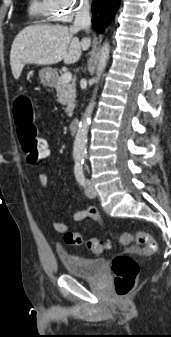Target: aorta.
<instances>
[{
  "mask_svg": "<svg viewBox=\"0 0 171 337\" xmlns=\"http://www.w3.org/2000/svg\"><path fill=\"white\" fill-rule=\"evenodd\" d=\"M110 53V45L108 42H105L100 50L99 60L97 64L96 77L93 81L97 85L100 81L101 75L107 65ZM97 91V87L94 91V96L89 103L88 107L85 110V113L82 116V119L78 125V130L75 136L74 145H73V156L83 158L86 154V143L87 135L89 130V125L91 122V115L95 106L94 98Z\"/></svg>",
  "mask_w": 171,
  "mask_h": 337,
  "instance_id": "1",
  "label": "aorta"
}]
</instances>
